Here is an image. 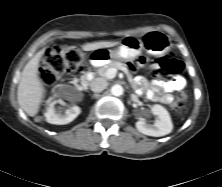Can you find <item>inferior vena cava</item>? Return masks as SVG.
Listing matches in <instances>:
<instances>
[{
  "label": "inferior vena cava",
  "mask_w": 222,
  "mask_h": 187,
  "mask_svg": "<svg viewBox=\"0 0 222 187\" xmlns=\"http://www.w3.org/2000/svg\"><path fill=\"white\" fill-rule=\"evenodd\" d=\"M107 87V82L102 78H96L90 83L93 92H101Z\"/></svg>",
  "instance_id": "obj_1"
}]
</instances>
